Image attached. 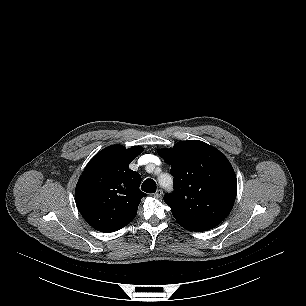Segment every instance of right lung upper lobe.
Segmentation results:
<instances>
[{
    "label": "right lung upper lobe",
    "instance_id": "right-lung-upper-lobe-1",
    "mask_svg": "<svg viewBox=\"0 0 306 306\" xmlns=\"http://www.w3.org/2000/svg\"><path fill=\"white\" fill-rule=\"evenodd\" d=\"M142 147L112 145L101 150L88 163L75 189L81 215L94 229L117 231L130 223L146 194L140 191L141 176L129 164Z\"/></svg>",
    "mask_w": 306,
    "mask_h": 306
}]
</instances>
